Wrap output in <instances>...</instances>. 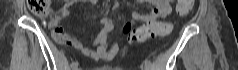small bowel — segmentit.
<instances>
[{
  "label": "small bowel",
  "instance_id": "1",
  "mask_svg": "<svg viewBox=\"0 0 238 70\" xmlns=\"http://www.w3.org/2000/svg\"><path fill=\"white\" fill-rule=\"evenodd\" d=\"M72 0H67L63 7L60 9V16L62 17H70L71 13L69 11V6L72 3ZM91 3H95L96 0H90ZM149 3L155 5V8L148 14L141 15L138 12L132 13V18L134 20L143 21L145 19H156L167 17L171 11L172 6L177 1L173 0H148ZM59 17L53 19L49 23V27L53 29V37L54 39L62 44L73 46L75 49L79 50L84 56L92 58L94 60H111L115 57V55L119 52V48L117 44H113L110 48L108 47V38L113 30V22L110 18H103L102 30L98 34V36L92 41V45L97 46L96 51L90 50L87 46L83 45L81 42L74 40L67 36L61 27H58ZM132 27L131 22H127L124 31L129 32ZM56 29H59V33L55 32Z\"/></svg>",
  "mask_w": 238,
  "mask_h": 70
}]
</instances>
